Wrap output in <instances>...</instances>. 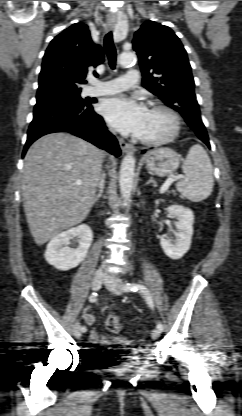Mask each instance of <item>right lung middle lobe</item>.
Listing matches in <instances>:
<instances>
[{"mask_svg":"<svg viewBox=\"0 0 242 416\" xmlns=\"http://www.w3.org/2000/svg\"><path fill=\"white\" fill-rule=\"evenodd\" d=\"M81 89L78 88H61L58 89L51 94L38 97L37 101L45 100V99H65L72 102H84V100L80 97Z\"/></svg>","mask_w":242,"mask_h":416,"instance_id":"obj_1","label":"right lung middle lobe"}]
</instances>
